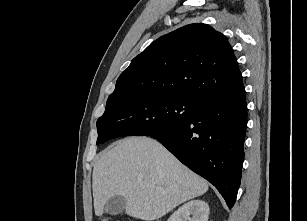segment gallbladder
Masks as SVG:
<instances>
[{"mask_svg":"<svg viewBox=\"0 0 307 221\" xmlns=\"http://www.w3.org/2000/svg\"><path fill=\"white\" fill-rule=\"evenodd\" d=\"M126 205V200L123 196H113L105 205L104 211L110 215L121 214Z\"/></svg>","mask_w":307,"mask_h":221,"instance_id":"gallbladder-1","label":"gallbladder"}]
</instances>
